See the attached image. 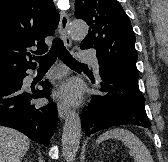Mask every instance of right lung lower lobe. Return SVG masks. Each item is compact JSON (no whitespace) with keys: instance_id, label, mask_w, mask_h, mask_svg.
Instances as JSON below:
<instances>
[{"instance_id":"right-lung-lower-lobe-1","label":"right lung lower lobe","mask_w":168,"mask_h":162,"mask_svg":"<svg viewBox=\"0 0 168 162\" xmlns=\"http://www.w3.org/2000/svg\"><path fill=\"white\" fill-rule=\"evenodd\" d=\"M26 71L0 82V125L14 128L45 146L57 127V106L50 101L46 106L32 103L35 98L48 97L49 82L40 84L43 90L25 91Z\"/></svg>"}]
</instances>
